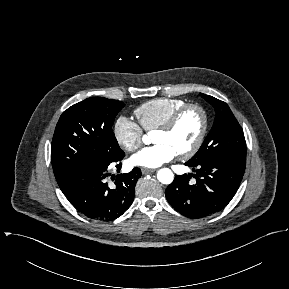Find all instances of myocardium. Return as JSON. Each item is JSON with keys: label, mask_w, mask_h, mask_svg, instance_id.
<instances>
[{"label": "myocardium", "mask_w": 289, "mask_h": 289, "mask_svg": "<svg viewBox=\"0 0 289 289\" xmlns=\"http://www.w3.org/2000/svg\"><path fill=\"white\" fill-rule=\"evenodd\" d=\"M189 110H196L199 112L201 116V128L198 133V136L194 143L184 152H181L178 155V157L182 160H186L194 156L200 147L202 146L204 139L207 134L208 130V124H209V119L206 110L199 104L197 103H186L185 105L181 106L178 108L168 119L165 123H163L161 126H159L156 131H161V132H171L181 117Z\"/></svg>", "instance_id": "f54148a6"}]
</instances>
